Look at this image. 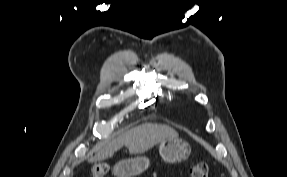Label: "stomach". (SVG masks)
<instances>
[{
  "instance_id": "0dacf381",
  "label": "stomach",
  "mask_w": 287,
  "mask_h": 177,
  "mask_svg": "<svg viewBox=\"0 0 287 177\" xmlns=\"http://www.w3.org/2000/svg\"><path fill=\"white\" fill-rule=\"evenodd\" d=\"M159 153L165 162L177 163L188 159L191 147L188 142L179 138H168L160 142ZM149 164L147 157L136 156L115 164L113 172L117 177H134L147 170Z\"/></svg>"
}]
</instances>
